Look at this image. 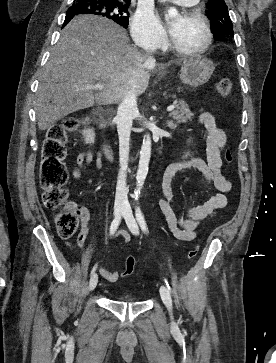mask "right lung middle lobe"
Masks as SVG:
<instances>
[{
    "instance_id": "dd1d6c3e",
    "label": "right lung middle lobe",
    "mask_w": 276,
    "mask_h": 363,
    "mask_svg": "<svg viewBox=\"0 0 276 363\" xmlns=\"http://www.w3.org/2000/svg\"><path fill=\"white\" fill-rule=\"evenodd\" d=\"M128 6L123 2L108 0H74V4L67 10L66 16L78 14H92L107 17L123 27L128 26Z\"/></svg>"
}]
</instances>
